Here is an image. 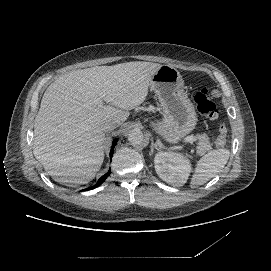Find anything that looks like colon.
<instances>
[{
  "mask_svg": "<svg viewBox=\"0 0 271 271\" xmlns=\"http://www.w3.org/2000/svg\"><path fill=\"white\" fill-rule=\"evenodd\" d=\"M194 100L198 111L208 120H218L219 113L216 104L213 102L209 90L206 87L199 89ZM215 145L218 147L225 146L227 142V128L223 123H219L218 132L215 137Z\"/></svg>",
  "mask_w": 271,
  "mask_h": 271,
  "instance_id": "obj_1",
  "label": "colon"
}]
</instances>
